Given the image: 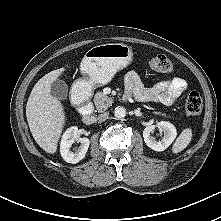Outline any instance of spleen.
<instances>
[{
    "label": "spleen",
    "mask_w": 221,
    "mask_h": 221,
    "mask_svg": "<svg viewBox=\"0 0 221 221\" xmlns=\"http://www.w3.org/2000/svg\"><path fill=\"white\" fill-rule=\"evenodd\" d=\"M191 139H192V129L191 128L184 129L179 135V137L176 139L175 143L173 144L172 152L177 154L182 150H184L191 142Z\"/></svg>",
    "instance_id": "obj_1"
}]
</instances>
